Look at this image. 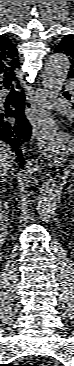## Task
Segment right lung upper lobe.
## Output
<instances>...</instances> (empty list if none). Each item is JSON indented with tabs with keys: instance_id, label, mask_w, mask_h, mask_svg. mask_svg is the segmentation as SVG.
<instances>
[{
	"instance_id": "obj_1",
	"label": "right lung upper lobe",
	"mask_w": 74,
	"mask_h": 366,
	"mask_svg": "<svg viewBox=\"0 0 74 366\" xmlns=\"http://www.w3.org/2000/svg\"><path fill=\"white\" fill-rule=\"evenodd\" d=\"M18 67L16 47L7 37L0 36V84L10 85L12 81L16 80L14 70Z\"/></svg>"
}]
</instances>
